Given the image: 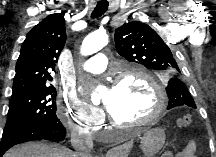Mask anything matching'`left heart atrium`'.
Masks as SVG:
<instances>
[{"label": "left heart atrium", "instance_id": "left-heart-atrium-1", "mask_svg": "<svg viewBox=\"0 0 216 157\" xmlns=\"http://www.w3.org/2000/svg\"><path fill=\"white\" fill-rule=\"evenodd\" d=\"M110 90L111 89L108 90V94L110 93ZM105 104H106V107L109 108V102H108V100L105 101Z\"/></svg>", "mask_w": 216, "mask_h": 157}]
</instances>
